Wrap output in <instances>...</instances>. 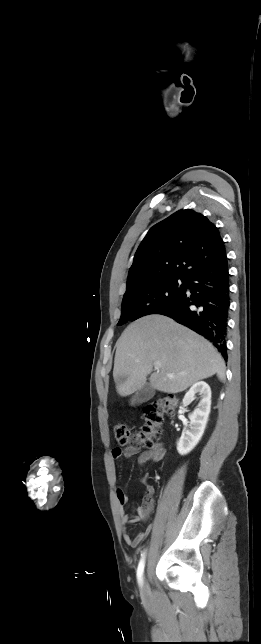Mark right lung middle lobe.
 Returning <instances> with one entry per match:
<instances>
[{
    "label": "right lung middle lobe",
    "mask_w": 261,
    "mask_h": 644,
    "mask_svg": "<svg viewBox=\"0 0 261 644\" xmlns=\"http://www.w3.org/2000/svg\"><path fill=\"white\" fill-rule=\"evenodd\" d=\"M185 281L169 278L148 282L126 290L118 325L142 316L156 314L175 303L184 293Z\"/></svg>",
    "instance_id": "obj_1"
}]
</instances>
